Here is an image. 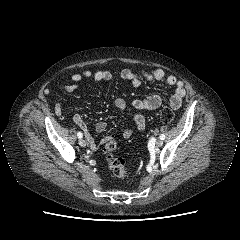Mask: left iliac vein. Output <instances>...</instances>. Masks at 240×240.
Masks as SVG:
<instances>
[{
    "mask_svg": "<svg viewBox=\"0 0 240 240\" xmlns=\"http://www.w3.org/2000/svg\"><path fill=\"white\" fill-rule=\"evenodd\" d=\"M162 145H163V141L162 140L159 139V140L156 141V146L157 147H161Z\"/></svg>",
    "mask_w": 240,
    "mask_h": 240,
    "instance_id": "obj_1",
    "label": "left iliac vein"
}]
</instances>
